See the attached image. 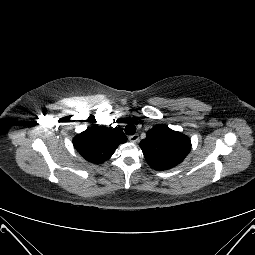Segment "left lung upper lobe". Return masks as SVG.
Returning <instances> with one entry per match:
<instances>
[{"label":"left lung upper lobe","mask_w":255,"mask_h":255,"mask_svg":"<svg viewBox=\"0 0 255 255\" xmlns=\"http://www.w3.org/2000/svg\"><path fill=\"white\" fill-rule=\"evenodd\" d=\"M139 145L147 163L155 170L177 166L191 150V141L186 135L163 124L150 129Z\"/></svg>","instance_id":"obj_1"}]
</instances>
